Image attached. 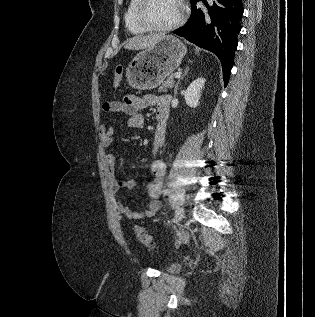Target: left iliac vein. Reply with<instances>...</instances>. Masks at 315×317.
I'll list each match as a JSON object with an SVG mask.
<instances>
[{
  "label": "left iliac vein",
  "instance_id": "obj_1",
  "mask_svg": "<svg viewBox=\"0 0 315 317\" xmlns=\"http://www.w3.org/2000/svg\"><path fill=\"white\" fill-rule=\"evenodd\" d=\"M184 217V208L178 207L174 215V223L178 224Z\"/></svg>",
  "mask_w": 315,
  "mask_h": 317
}]
</instances>
